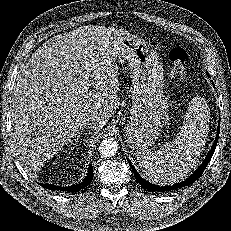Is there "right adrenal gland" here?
Returning a JSON list of instances; mask_svg holds the SVG:
<instances>
[{"mask_svg":"<svg viewBox=\"0 0 231 231\" xmlns=\"http://www.w3.org/2000/svg\"><path fill=\"white\" fill-rule=\"evenodd\" d=\"M82 135H83V130L80 131V132L78 133V135L76 136V138H75V144H76V143H79V140H80V138L82 137Z\"/></svg>","mask_w":231,"mask_h":231,"instance_id":"2a0ac1e0","label":"right adrenal gland"}]
</instances>
